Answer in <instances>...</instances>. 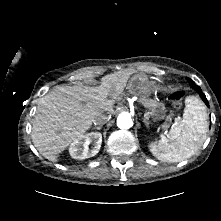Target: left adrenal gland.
Here are the masks:
<instances>
[{"label": "left adrenal gland", "mask_w": 221, "mask_h": 221, "mask_svg": "<svg viewBox=\"0 0 221 221\" xmlns=\"http://www.w3.org/2000/svg\"><path fill=\"white\" fill-rule=\"evenodd\" d=\"M143 122L145 123L146 127H149L150 121L147 120V118H143Z\"/></svg>", "instance_id": "obj_1"}]
</instances>
